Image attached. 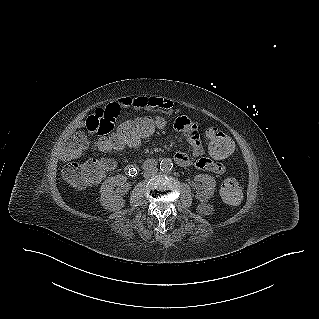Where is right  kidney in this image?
Segmentation results:
<instances>
[{
    "label": "right kidney",
    "instance_id": "obj_1",
    "mask_svg": "<svg viewBox=\"0 0 319 319\" xmlns=\"http://www.w3.org/2000/svg\"><path fill=\"white\" fill-rule=\"evenodd\" d=\"M127 177L115 175L106 179L100 189V204L107 210L117 211L124 207L125 200L122 197L123 191H114L116 186L123 187Z\"/></svg>",
    "mask_w": 319,
    "mask_h": 319
}]
</instances>
